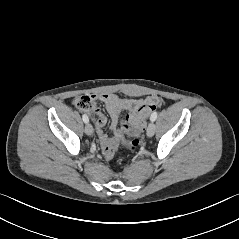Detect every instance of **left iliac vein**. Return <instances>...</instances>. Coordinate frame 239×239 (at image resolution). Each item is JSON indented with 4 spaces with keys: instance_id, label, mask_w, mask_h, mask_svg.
Returning a JSON list of instances; mask_svg holds the SVG:
<instances>
[{
    "instance_id": "obj_1",
    "label": "left iliac vein",
    "mask_w": 239,
    "mask_h": 239,
    "mask_svg": "<svg viewBox=\"0 0 239 239\" xmlns=\"http://www.w3.org/2000/svg\"><path fill=\"white\" fill-rule=\"evenodd\" d=\"M155 133V124L152 122L149 123L148 127H147V131L146 134L148 137H152Z\"/></svg>"
}]
</instances>
